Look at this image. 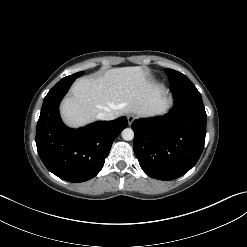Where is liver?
Returning a JSON list of instances; mask_svg holds the SVG:
<instances>
[{
	"instance_id": "6515ba94",
	"label": "liver",
	"mask_w": 247,
	"mask_h": 247,
	"mask_svg": "<svg viewBox=\"0 0 247 247\" xmlns=\"http://www.w3.org/2000/svg\"><path fill=\"white\" fill-rule=\"evenodd\" d=\"M169 107L162 89L147 79L140 66L113 68L98 78H81L64 99L61 113L71 127L88 124L102 112L115 117L134 113L143 117L161 115Z\"/></svg>"
}]
</instances>
